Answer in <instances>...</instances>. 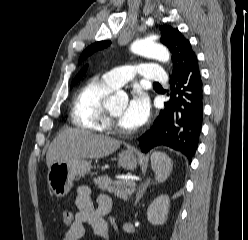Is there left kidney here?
Masks as SVG:
<instances>
[{"instance_id": "obj_1", "label": "left kidney", "mask_w": 248, "mask_h": 240, "mask_svg": "<svg viewBox=\"0 0 248 240\" xmlns=\"http://www.w3.org/2000/svg\"><path fill=\"white\" fill-rule=\"evenodd\" d=\"M170 199L167 195L157 197L147 209V219L151 224H164L167 220Z\"/></svg>"}]
</instances>
